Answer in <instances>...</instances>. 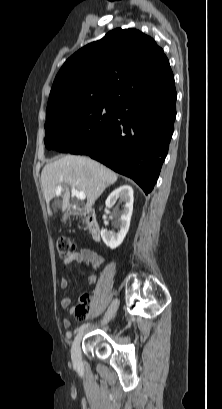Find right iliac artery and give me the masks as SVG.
I'll return each mask as SVG.
<instances>
[{
  "label": "right iliac artery",
  "instance_id": "right-iliac-artery-1",
  "mask_svg": "<svg viewBox=\"0 0 222 409\" xmlns=\"http://www.w3.org/2000/svg\"><path fill=\"white\" fill-rule=\"evenodd\" d=\"M88 325H89V323L81 325V326L77 329V332L83 331L84 329H86V328L88 327Z\"/></svg>",
  "mask_w": 222,
  "mask_h": 409
}]
</instances>
